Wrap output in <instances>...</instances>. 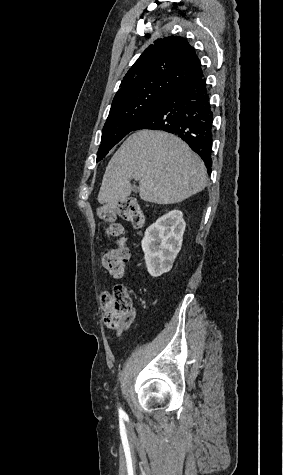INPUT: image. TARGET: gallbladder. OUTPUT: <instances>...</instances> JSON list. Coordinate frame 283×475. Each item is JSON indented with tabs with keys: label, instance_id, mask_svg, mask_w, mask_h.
Masks as SVG:
<instances>
[{
	"label": "gallbladder",
	"instance_id": "bac80fb5",
	"mask_svg": "<svg viewBox=\"0 0 283 475\" xmlns=\"http://www.w3.org/2000/svg\"><path fill=\"white\" fill-rule=\"evenodd\" d=\"M133 192H138L137 186H133Z\"/></svg>",
	"mask_w": 283,
	"mask_h": 475
}]
</instances>
